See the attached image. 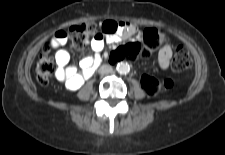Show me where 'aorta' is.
Returning <instances> with one entry per match:
<instances>
[{"mask_svg": "<svg viewBox=\"0 0 225 155\" xmlns=\"http://www.w3.org/2000/svg\"><path fill=\"white\" fill-rule=\"evenodd\" d=\"M116 70L120 74H127L130 71V66L126 62H120L117 64Z\"/></svg>", "mask_w": 225, "mask_h": 155, "instance_id": "obj_1", "label": "aorta"}]
</instances>
